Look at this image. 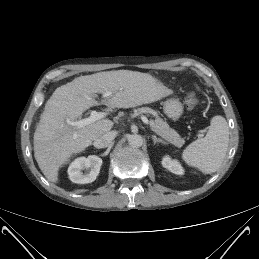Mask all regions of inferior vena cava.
I'll return each mask as SVG.
<instances>
[{
	"label": "inferior vena cava",
	"instance_id": "obj_1",
	"mask_svg": "<svg viewBox=\"0 0 259 259\" xmlns=\"http://www.w3.org/2000/svg\"><path fill=\"white\" fill-rule=\"evenodd\" d=\"M115 137H116L115 131L106 132L101 137L94 140L93 145L96 148H105L114 140Z\"/></svg>",
	"mask_w": 259,
	"mask_h": 259
}]
</instances>
